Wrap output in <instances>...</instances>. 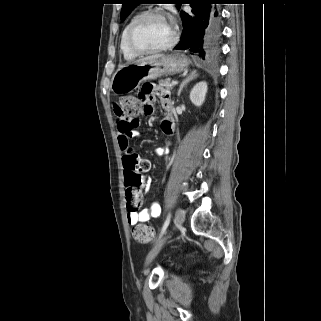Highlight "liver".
<instances>
[{
	"label": "liver",
	"mask_w": 321,
	"mask_h": 321,
	"mask_svg": "<svg viewBox=\"0 0 321 321\" xmlns=\"http://www.w3.org/2000/svg\"><path fill=\"white\" fill-rule=\"evenodd\" d=\"M162 56H163V55H152V56H148V57H145V58H142V59L138 60L137 63L144 62V61H147V60L157 59V58H160V57H162Z\"/></svg>",
	"instance_id": "1"
}]
</instances>
